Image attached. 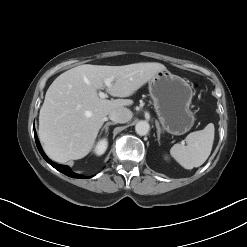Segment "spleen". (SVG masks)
<instances>
[{
  "instance_id": "3e777b00",
  "label": "spleen",
  "mask_w": 247,
  "mask_h": 247,
  "mask_svg": "<svg viewBox=\"0 0 247 247\" xmlns=\"http://www.w3.org/2000/svg\"><path fill=\"white\" fill-rule=\"evenodd\" d=\"M214 130L213 123H209L203 130L190 133L186 145L177 143L171 148V156L185 169L201 166L211 153Z\"/></svg>"
}]
</instances>
